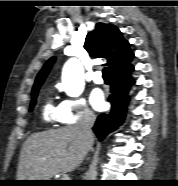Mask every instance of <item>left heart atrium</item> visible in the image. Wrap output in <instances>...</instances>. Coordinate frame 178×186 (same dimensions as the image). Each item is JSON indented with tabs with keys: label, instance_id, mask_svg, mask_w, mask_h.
I'll list each match as a JSON object with an SVG mask.
<instances>
[{
	"label": "left heart atrium",
	"instance_id": "39dd6f15",
	"mask_svg": "<svg viewBox=\"0 0 178 186\" xmlns=\"http://www.w3.org/2000/svg\"><path fill=\"white\" fill-rule=\"evenodd\" d=\"M90 102L96 110H102L105 106L103 92L100 89L93 90L90 96Z\"/></svg>",
	"mask_w": 178,
	"mask_h": 186
}]
</instances>
